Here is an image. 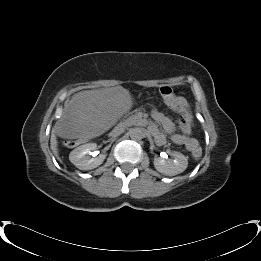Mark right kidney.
<instances>
[{
    "label": "right kidney",
    "instance_id": "right-kidney-1",
    "mask_svg": "<svg viewBox=\"0 0 261 261\" xmlns=\"http://www.w3.org/2000/svg\"><path fill=\"white\" fill-rule=\"evenodd\" d=\"M96 143H87L75 148L69 154V160L80 170H90L99 166L103 159L96 157L99 154ZM95 157V158H91Z\"/></svg>",
    "mask_w": 261,
    "mask_h": 261
}]
</instances>
